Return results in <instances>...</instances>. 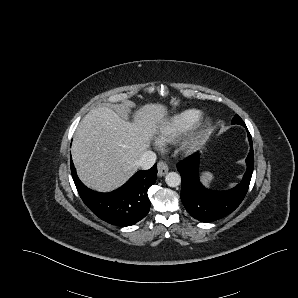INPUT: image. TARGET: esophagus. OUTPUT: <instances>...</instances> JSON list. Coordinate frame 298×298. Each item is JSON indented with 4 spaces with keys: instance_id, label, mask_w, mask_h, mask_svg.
<instances>
[{
    "instance_id": "esophagus-1",
    "label": "esophagus",
    "mask_w": 298,
    "mask_h": 298,
    "mask_svg": "<svg viewBox=\"0 0 298 298\" xmlns=\"http://www.w3.org/2000/svg\"><path fill=\"white\" fill-rule=\"evenodd\" d=\"M168 165L165 161H159L158 162V175L164 176L168 172Z\"/></svg>"
}]
</instances>
